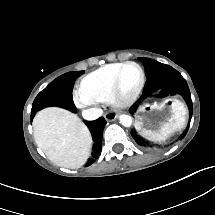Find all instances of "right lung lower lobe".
<instances>
[{"label":"right lung lower lobe","mask_w":215,"mask_h":215,"mask_svg":"<svg viewBox=\"0 0 215 215\" xmlns=\"http://www.w3.org/2000/svg\"><path fill=\"white\" fill-rule=\"evenodd\" d=\"M87 126L89 127L93 138H94V146L92 151V157L89 159L86 166L91 165L101 154V146H102V133L106 121L104 118H99L95 121H86Z\"/></svg>","instance_id":"98d812e1"}]
</instances>
